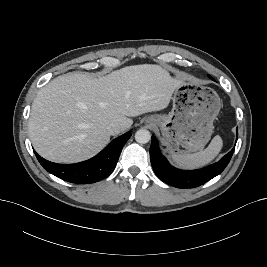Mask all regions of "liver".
<instances>
[{
  "label": "liver",
  "instance_id": "obj_1",
  "mask_svg": "<svg viewBox=\"0 0 267 267\" xmlns=\"http://www.w3.org/2000/svg\"><path fill=\"white\" fill-rule=\"evenodd\" d=\"M182 80L158 65L127 66L94 78L74 73L42 87L32 104L29 136L36 152L58 163L97 154L110 140L107 125L123 130L141 114L165 109Z\"/></svg>",
  "mask_w": 267,
  "mask_h": 267
}]
</instances>
